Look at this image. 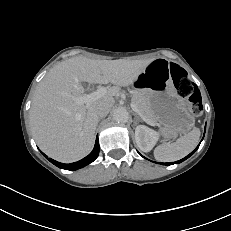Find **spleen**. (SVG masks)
Wrapping results in <instances>:
<instances>
[{
	"instance_id": "3e777b00",
	"label": "spleen",
	"mask_w": 231,
	"mask_h": 231,
	"mask_svg": "<svg viewBox=\"0 0 231 231\" xmlns=\"http://www.w3.org/2000/svg\"><path fill=\"white\" fill-rule=\"evenodd\" d=\"M200 130L194 128L173 143H163L154 149V157L161 162L177 161L188 155L198 143Z\"/></svg>"
}]
</instances>
